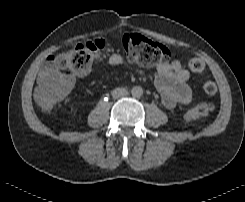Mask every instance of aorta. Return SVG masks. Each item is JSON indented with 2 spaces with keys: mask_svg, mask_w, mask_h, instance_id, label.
Masks as SVG:
<instances>
[{
  "mask_svg": "<svg viewBox=\"0 0 245 202\" xmlns=\"http://www.w3.org/2000/svg\"><path fill=\"white\" fill-rule=\"evenodd\" d=\"M133 97L139 98L143 95V89L140 86H134L131 90Z\"/></svg>",
  "mask_w": 245,
  "mask_h": 202,
  "instance_id": "1",
  "label": "aorta"
}]
</instances>
